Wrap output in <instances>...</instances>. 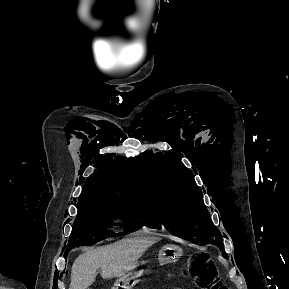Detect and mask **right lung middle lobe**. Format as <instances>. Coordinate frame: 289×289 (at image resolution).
I'll return each instance as SVG.
<instances>
[{
    "label": "right lung middle lobe",
    "mask_w": 289,
    "mask_h": 289,
    "mask_svg": "<svg viewBox=\"0 0 289 289\" xmlns=\"http://www.w3.org/2000/svg\"><path fill=\"white\" fill-rule=\"evenodd\" d=\"M136 206L137 203L123 200L78 202V215L64 256L74 247L94 244L114 236L110 231L113 219L123 221L124 233L138 230L141 221Z\"/></svg>",
    "instance_id": "obj_1"
}]
</instances>
